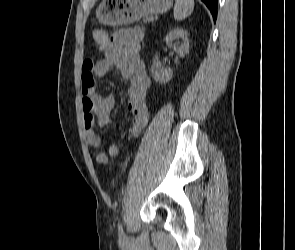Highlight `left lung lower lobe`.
Here are the masks:
<instances>
[{
	"instance_id": "0a47b994",
	"label": "left lung lower lobe",
	"mask_w": 295,
	"mask_h": 250,
	"mask_svg": "<svg viewBox=\"0 0 295 250\" xmlns=\"http://www.w3.org/2000/svg\"><path fill=\"white\" fill-rule=\"evenodd\" d=\"M209 8L212 13L213 19L216 20L217 17V5L218 0H201Z\"/></svg>"
}]
</instances>
